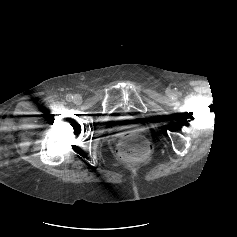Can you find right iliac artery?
Segmentation results:
<instances>
[{"instance_id": "1", "label": "right iliac artery", "mask_w": 237, "mask_h": 237, "mask_svg": "<svg viewBox=\"0 0 237 237\" xmlns=\"http://www.w3.org/2000/svg\"><path fill=\"white\" fill-rule=\"evenodd\" d=\"M73 99V96L71 94L67 95L66 96V100L67 101H71Z\"/></svg>"}]
</instances>
